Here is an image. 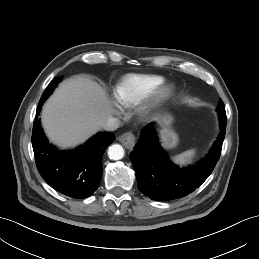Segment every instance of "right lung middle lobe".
Listing matches in <instances>:
<instances>
[{"label":"right lung middle lobe","instance_id":"right-lung-middle-lobe-1","mask_svg":"<svg viewBox=\"0 0 259 259\" xmlns=\"http://www.w3.org/2000/svg\"><path fill=\"white\" fill-rule=\"evenodd\" d=\"M61 78H55L51 81V83L48 85L44 93L42 94V97L38 103V109H41V106L45 102V100L49 97V95L54 91V89L57 87L58 83L60 82Z\"/></svg>","mask_w":259,"mask_h":259}]
</instances>
